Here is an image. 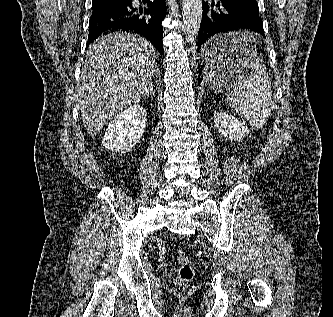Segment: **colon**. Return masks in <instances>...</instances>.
<instances>
[{"instance_id":"colon-1","label":"colon","mask_w":333,"mask_h":317,"mask_svg":"<svg viewBox=\"0 0 333 317\" xmlns=\"http://www.w3.org/2000/svg\"><path fill=\"white\" fill-rule=\"evenodd\" d=\"M177 260L179 267L175 279V284L179 289L184 290L194 279L195 270L190 262L187 253L183 249L178 250Z\"/></svg>"}]
</instances>
